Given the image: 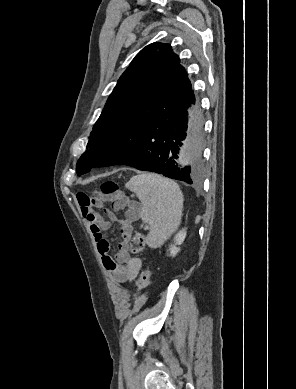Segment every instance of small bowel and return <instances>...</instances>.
Instances as JSON below:
<instances>
[{"mask_svg": "<svg viewBox=\"0 0 296 389\" xmlns=\"http://www.w3.org/2000/svg\"><path fill=\"white\" fill-rule=\"evenodd\" d=\"M80 205V211L92 232L97 250L101 256L102 264L111 278L119 283L132 282L141 268V261L130 255L128 250V241L132 233V222L138 214V206L123 198L118 204L112 205V208H104L103 198H92L84 193L77 195ZM94 207L104 208L107 219L95 213ZM126 209L125 216L119 217L117 211ZM111 222L119 224L121 241L118 244L115 255H110V245L104 237L103 232L108 230Z\"/></svg>", "mask_w": 296, "mask_h": 389, "instance_id": "small-bowel-1", "label": "small bowel"}]
</instances>
